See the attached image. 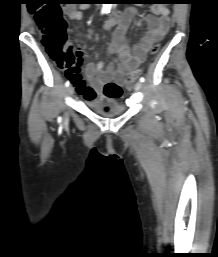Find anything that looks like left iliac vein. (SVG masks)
<instances>
[{
  "label": "left iliac vein",
  "mask_w": 218,
  "mask_h": 257,
  "mask_svg": "<svg viewBox=\"0 0 218 257\" xmlns=\"http://www.w3.org/2000/svg\"><path fill=\"white\" fill-rule=\"evenodd\" d=\"M142 82L141 81H138L136 84H135V90L136 91H139L142 89Z\"/></svg>",
  "instance_id": "obj_1"
}]
</instances>
